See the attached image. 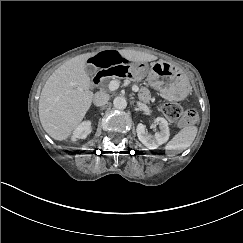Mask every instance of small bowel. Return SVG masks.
Returning a JSON list of instances; mask_svg holds the SVG:
<instances>
[{
  "instance_id": "obj_1",
  "label": "small bowel",
  "mask_w": 243,
  "mask_h": 243,
  "mask_svg": "<svg viewBox=\"0 0 243 243\" xmlns=\"http://www.w3.org/2000/svg\"><path fill=\"white\" fill-rule=\"evenodd\" d=\"M88 62L103 69L129 64V59L120 51L105 50L88 58Z\"/></svg>"
}]
</instances>
